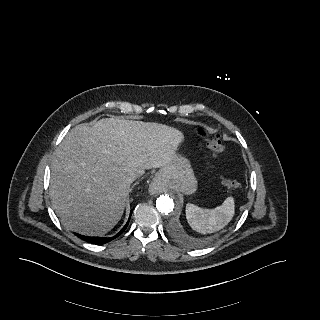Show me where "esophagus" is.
<instances>
[{
	"label": "esophagus",
	"instance_id": "34e87169",
	"mask_svg": "<svg viewBox=\"0 0 320 320\" xmlns=\"http://www.w3.org/2000/svg\"><path fill=\"white\" fill-rule=\"evenodd\" d=\"M166 189V183L164 178L161 175H156L149 186V192L152 195H157L163 193Z\"/></svg>",
	"mask_w": 320,
	"mask_h": 320
}]
</instances>
